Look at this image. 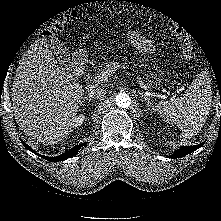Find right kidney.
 Wrapping results in <instances>:
<instances>
[{"instance_id": "ca27d5eb", "label": "right kidney", "mask_w": 221, "mask_h": 221, "mask_svg": "<svg viewBox=\"0 0 221 221\" xmlns=\"http://www.w3.org/2000/svg\"><path fill=\"white\" fill-rule=\"evenodd\" d=\"M84 120H85V115L80 114L79 116L71 119V121L69 122V126L71 128H76L78 126H81L83 124Z\"/></svg>"}]
</instances>
